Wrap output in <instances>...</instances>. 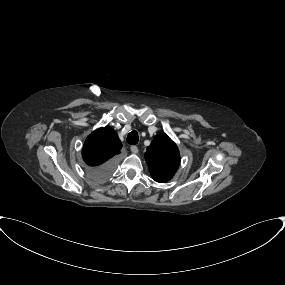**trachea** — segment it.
<instances>
[{"label": "trachea", "mask_w": 285, "mask_h": 285, "mask_svg": "<svg viewBox=\"0 0 285 285\" xmlns=\"http://www.w3.org/2000/svg\"><path fill=\"white\" fill-rule=\"evenodd\" d=\"M126 141L131 145L137 144L139 141L138 133L136 131H131L128 134Z\"/></svg>", "instance_id": "3493384b"}]
</instances>
